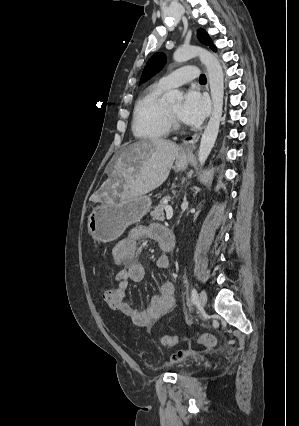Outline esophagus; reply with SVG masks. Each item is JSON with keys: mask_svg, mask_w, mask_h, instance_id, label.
<instances>
[{"mask_svg": "<svg viewBox=\"0 0 299 426\" xmlns=\"http://www.w3.org/2000/svg\"><path fill=\"white\" fill-rule=\"evenodd\" d=\"M199 138V135L196 134L194 139L190 142V144H186L183 149H182V154L184 155H188L192 152V146L194 144L195 141H197V139Z\"/></svg>", "mask_w": 299, "mask_h": 426, "instance_id": "esophagus-1", "label": "esophagus"}]
</instances>
